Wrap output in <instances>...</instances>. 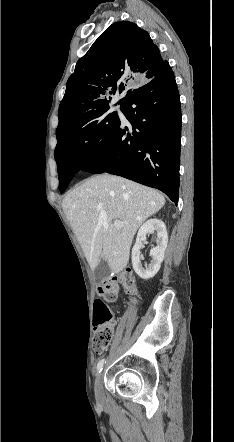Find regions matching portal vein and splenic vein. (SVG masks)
Masks as SVG:
<instances>
[{
    "instance_id": "1",
    "label": "portal vein and splenic vein",
    "mask_w": 234,
    "mask_h": 442,
    "mask_svg": "<svg viewBox=\"0 0 234 442\" xmlns=\"http://www.w3.org/2000/svg\"><path fill=\"white\" fill-rule=\"evenodd\" d=\"M113 224H114L115 228L119 229L122 226L126 225L127 223H123V222H121L119 220H115Z\"/></svg>"
}]
</instances>
